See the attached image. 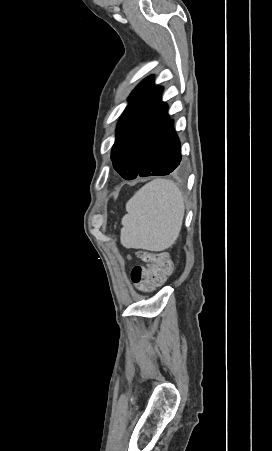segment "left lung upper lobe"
Returning a JSON list of instances; mask_svg holds the SVG:
<instances>
[{
  "instance_id": "5c2ea615",
  "label": "left lung upper lobe",
  "mask_w": 272,
  "mask_h": 451,
  "mask_svg": "<svg viewBox=\"0 0 272 451\" xmlns=\"http://www.w3.org/2000/svg\"><path fill=\"white\" fill-rule=\"evenodd\" d=\"M162 91L150 76L128 98L129 105L120 118L111 153L114 169L124 179L138 174L151 139L167 111V104L161 100Z\"/></svg>"
}]
</instances>
